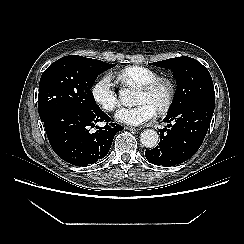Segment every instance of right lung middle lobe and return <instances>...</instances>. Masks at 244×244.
I'll list each match as a JSON object with an SVG mask.
<instances>
[{
	"label": "right lung middle lobe",
	"instance_id": "dd1d6c3e",
	"mask_svg": "<svg viewBox=\"0 0 244 244\" xmlns=\"http://www.w3.org/2000/svg\"><path fill=\"white\" fill-rule=\"evenodd\" d=\"M114 66L115 64L77 55H68L55 61L44 71L40 79V118L49 111L62 107L86 110L99 108L91 88L100 73Z\"/></svg>",
	"mask_w": 244,
	"mask_h": 244
}]
</instances>
